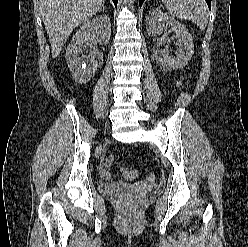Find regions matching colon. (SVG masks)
Listing matches in <instances>:
<instances>
[{"instance_id": "colon-1", "label": "colon", "mask_w": 248, "mask_h": 247, "mask_svg": "<svg viewBox=\"0 0 248 247\" xmlns=\"http://www.w3.org/2000/svg\"><path fill=\"white\" fill-rule=\"evenodd\" d=\"M106 163L109 167H111L114 164V157L113 156H108L106 159ZM123 171L125 173V176L128 179H134L138 176V172L134 170H129L127 168H123ZM148 180L153 181L155 179V175L153 173L148 174Z\"/></svg>"}]
</instances>
